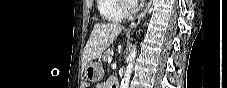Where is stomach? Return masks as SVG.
Segmentation results:
<instances>
[{"label":"stomach","mask_w":227,"mask_h":88,"mask_svg":"<svg viewBox=\"0 0 227 88\" xmlns=\"http://www.w3.org/2000/svg\"><path fill=\"white\" fill-rule=\"evenodd\" d=\"M85 76L91 82H98L104 76V70L100 63L91 62L85 68Z\"/></svg>","instance_id":"1"}]
</instances>
